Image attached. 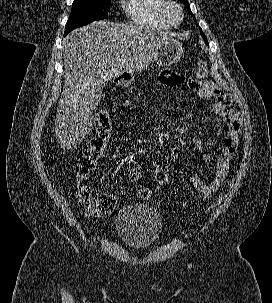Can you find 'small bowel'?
<instances>
[{"mask_svg":"<svg viewBox=\"0 0 272 303\" xmlns=\"http://www.w3.org/2000/svg\"><path fill=\"white\" fill-rule=\"evenodd\" d=\"M161 84L169 87L179 86L184 83L185 78L181 74L171 71H164L159 76ZM189 87L196 91L203 100H213L214 112L223 119L222 129L225 134L224 148L216 158V170L210 182H206L201 176L192 174L190 182L199 193L201 199H207L216 192L227 177L229 164L234 156L241 132V119L238 112L232 105L230 97L225 95L218 85L213 82L203 80H188ZM194 147L201 153V158L205 162H210L212 156L204 153V145L201 140L195 141ZM141 170L132 168L129 171L128 178L131 182H137L141 178ZM189 204H185V208H189Z\"/></svg>","mask_w":272,"mask_h":303,"instance_id":"c3829d8e","label":"small bowel"}]
</instances>
